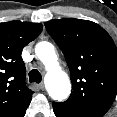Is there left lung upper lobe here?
Wrapping results in <instances>:
<instances>
[{
  "instance_id": "obj_1",
  "label": "left lung upper lobe",
  "mask_w": 117,
  "mask_h": 117,
  "mask_svg": "<svg viewBox=\"0 0 117 117\" xmlns=\"http://www.w3.org/2000/svg\"><path fill=\"white\" fill-rule=\"evenodd\" d=\"M45 26L71 73V95L57 104L89 117H102L117 94L114 41L101 26L88 20L65 18L45 22Z\"/></svg>"
}]
</instances>
